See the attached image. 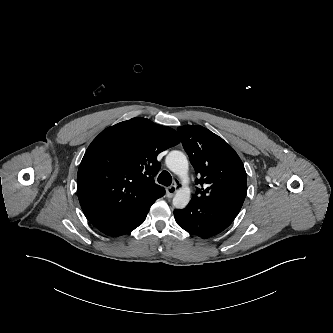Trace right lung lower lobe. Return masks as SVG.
I'll return each instance as SVG.
<instances>
[{"mask_svg": "<svg viewBox=\"0 0 333 333\" xmlns=\"http://www.w3.org/2000/svg\"><path fill=\"white\" fill-rule=\"evenodd\" d=\"M148 211L149 209L127 219L100 223L95 226L101 232L109 236L115 237L124 235L141 225L146 219Z\"/></svg>", "mask_w": 333, "mask_h": 333, "instance_id": "right-lung-lower-lobe-1", "label": "right lung lower lobe"}]
</instances>
